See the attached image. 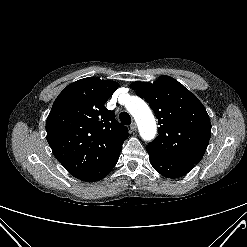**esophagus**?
<instances>
[{"instance_id": "esophagus-1", "label": "esophagus", "mask_w": 247, "mask_h": 247, "mask_svg": "<svg viewBox=\"0 0 247 247\" xmlns=\"http://www.w3.org/2000/svg\"><path fill=\"white\" fill-rule=\"evenodd\" d=\"M136 128H137L136 123H135V122L131 123V125H130L131 131H132V132L136 131Z\"/></svg>"}]
</instances>
